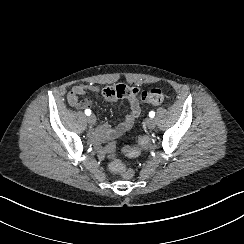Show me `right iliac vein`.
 Instances as JSON below:
<instances>
[{
  "label": "right iliac vein",
  "instance_id": "right-iliac-vein-1",
  "mask_svg": "<svg viewBox=\"0 0 244 244\" xmlns=\"http://www.w3.org/2000/svg\"><path fill=\"white\" fill-rule=\"evenodd\" d=\"M87 121L90 125H94L96 123V117L95 115H89L88 118H87Z\"/></svg>",
  "mask_w": 244,
  "mask_h": 244
}]
</instances>
